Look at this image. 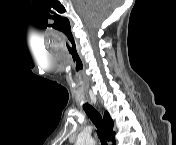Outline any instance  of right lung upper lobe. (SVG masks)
<instances>
[{"instance_id": "1", "label": "right lung upper lobe", "mask_w": 176, "mask_h": 145, "mask_svg": "<svg viewBox=\"0 0 176 145\" xmlns=\"http://www.w3.org/2000/svg\"><path fill=\"white\" fill-rule=\"evenodd\" d=\"M104 121L106 122V125H107V132L105 133L106 139L108 141H112L113 144H115V133L113 132V121L110 118V115L108 114V112H105Z\"/></svg>"}]
</instances>
